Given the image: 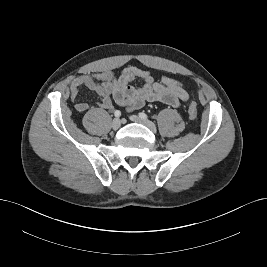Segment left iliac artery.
<instances>
[{
  "label": "left iliac artery",
  "mask_w": 267,
  "mask_h": 267,
  "mask_svg": "<svg viewBox=\"0 0 267 267\" xmlns=\"http://www.w3.org/2000/svg\"><path fill=\"white\" fill-rule=\"evenodd\" d=\"M139 117L141 119H148V116L145 113H143V112L139 113Z\"/></svg>",
  "instance_id": "1"
}]
</instances>
